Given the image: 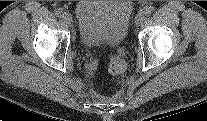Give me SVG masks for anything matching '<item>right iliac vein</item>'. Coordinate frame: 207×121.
Wrapping results in <instances>:
<instances>
[{"instance_id": "1", "label": "right iliac vein", "mask_w": 207, "mask_h": 121, "mask_svg": "<svg viewBox=\"0 0 207 121\" xmlns=\"http://www.w3.org/2000/svg\"><path fill=\"white\" fill-rule=\"evenodd\" d=\"M63 19L67 24L72 25L73 18H72V15L70 13H65L64 16H63Z\"/></svg>"}]
</instances>
